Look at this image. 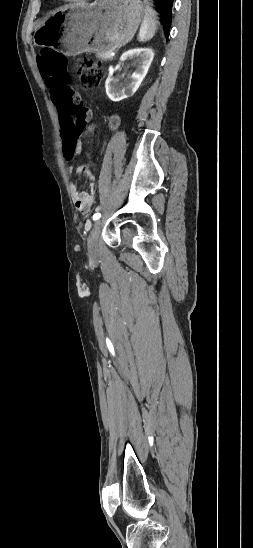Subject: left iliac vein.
<instances>
[{
	"label": "left iliac vein",
	"instance_id": "4c4485c4",
	"mask_svg": "<svg viewBox=\"0 0 253 548\" xmlns=\"http://www.w3.org/2000/svg\"><path fill=\"white\" fill-rule=\"evenodd\" d=\"M103 221L97 220L93 228L89 234L88 240H87V246H88V255L91 259H95L98 256V240L99 235L102 229Z\"/></svg>",
	"mask_w": 253,
	"mask_h": 548
}]
</instances>
